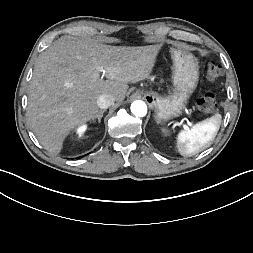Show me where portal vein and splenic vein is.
<instances>
[{"label": "portal vein and splenic vein", "instance_id": "18ae733b", "mask_svg": "<svg viewBox=\"0 0 253 253\" xmlns=\"http://www.w3.org/2000/svg\"><path fill=\"white\" fill-rule=\"evenodd\" d=\"M184 128H185L186 130H188V129H189V127H188L187 125H185V126H184Z\"/></svg>", "mask_w": 253, "mask_h": 253}]
</instances>
